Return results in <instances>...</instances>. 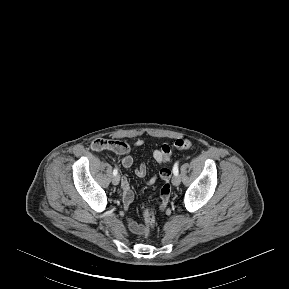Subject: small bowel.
I'll use <instances>...</instances> for the list:
<instances>
[{
  "label": "small bowel",
  "mask_w": 289,
  "mask_h": 289,
  "mask_svg": "<svg viewBox=\"0 0 289 289\" xmlns=\"http://www.w3.org/2000/svg\"><path fill=\"white\" fill-rule=\"evenodd\" d=\"M144 145L143 139H138L133 146H131L128 142L119 140V139H105V138H98L94 140L91 144L92 149L96 151L100 150H108L114 153L116 156L120 158L121 164L125 168H131L134 160L131 156L132 148H138ZM153 158L157 163H159L161 166H159L158 171L160 178L163 180L164 185L159 190V195L161 196L160 201L162 206L159 207L160 213L166 212V207L168 201L171 199V183L168 181L172 177V171L171 169L167 168L166 166L162 165L164 164L161 158L160 149L153 150ZM147 173V166L145 163H141L138 168L136 169V175L139 177H144ZM157 181V177L153 176L148 180L149 185L155 184ZM122 188H123V203L125 208L127 209L129 205L132 203L134 199V194L130 188L129 181L126 177H123L122 179ZM128 228L129 230L136 234V235H146L147 231L145 228V225L138 224L136 221L129 219L128 220Z\"/></svg>",
  "instance_id": "c3829d8e"
}]
</instances>
